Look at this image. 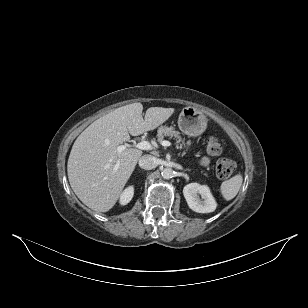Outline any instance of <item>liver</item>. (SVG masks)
I'll use <instances>...</instances> for the list:
<instances>
[{
	"label": "liver",
	"instance_id": "obj_1",
	"mask_svg": "<svg viewBox=\"0 0 308 308\" xmlns=\"http://www.w3.org/2000/svg\"><path fill=\"white\" fill-rule=\"evenodd\" d=\"M143 105L119 107L91 123L75 140L67 163L68 179L77 197L98 212L109 211L122 194L142 151L117 147L154 130L167 121L174 108L150 107L142 116Z\"/></svg>",
	"mask_w": 308,
	"mask_h": 308
}]
</instances>
